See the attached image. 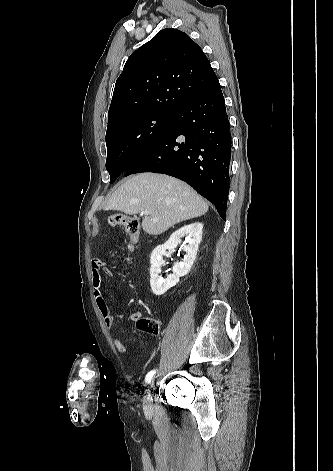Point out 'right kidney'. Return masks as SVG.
Here are the masks:
<instances>
[{"mask_svg":"<svg viewBox=\"0 0 333 471\" xmlns=\"http://www.w3.org/2000/svg\"><path fill=\"white\" fill-rule=\"evenodd\" d=\"M202 229L203 224L200 222L184 226L174 232L164 245H159L153 250L150 258V285L155 295L161 296L165 294L167 290L179 282L180 277L189 273L202 239ZM183 237H185V243H187L184 247L185 255L181 261L174 264L173 273L164 279L160 275L162 265L164 264L163 255L167 249H175L181 243V238Z\"/></svg>","mask_w":333,"mask_h":471,"instance_id":"1","label":"right kidney"}]
</instances>
